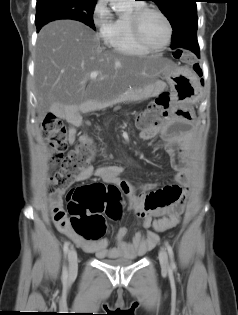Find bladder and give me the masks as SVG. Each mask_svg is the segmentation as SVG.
I'll use <instances>...</instances> for the list:
<instances>
[{
  "label": "bladder",
  "instance_id": "1",
  "mask_svg": "<svg viewBox=\"0 0 238 315\" xmlns=\"http://www.w3.org/2000/svg\"><path fill=\"white\" fill-rule=\"evenodd\" d=\"M136 261L135 258H127L123 260H112V259H104L103 262H105L108 265L115 266V267H121V266H127Z\"/></svg>",
  "mask_w": 238,
  "mask_h": 315
}]
</instances>
